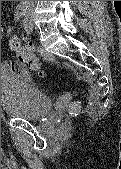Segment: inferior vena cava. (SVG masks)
<instances>
[{
  "label": "inferior vena cava",
  "instance_id": "inferior-vena-cava-1",
  "mask_svg": "<svg viewBox=\"0 0 121 169\" xmlns=\"http://www.w3.org/2000/svg\"><path fill=\"white\" fill-rule=\"evenodd\" d=\"M22 2L25 4H30V3H33L34 1H22Z\"/></svg>",
  "mask_w": 121,
  "mask_h": 169
}]
</instances>
